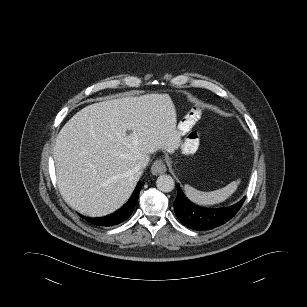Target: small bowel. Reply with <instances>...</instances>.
I'll list each match as a JSON object with an SVG mask.
<instances>
[{
  "label": "small bowel",
  "instance_id": "small-bowel-1",
  "mask_svg": "<svg viewBox=\"0 0 307 307\" xmlns=\"http://www.w3.org/2000/svg\"><path fill=\"white\" fill-rule=\"evenodd\" d=\"M201 115H202L201 108H195L186 118V122L193 125L195 124L196 121L200 119ZM176 134L180 138H185L189 134V129L185 125H180L176 129Z\"/></svg>",
  "mask_w": 307,
  "mask_h": 307
}]
</instances>
